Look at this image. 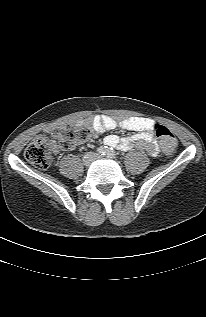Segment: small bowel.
<instances>
[{
	"mask_svg": "<svg viewBox=\"0 0 206 317\" xmlns=\"http://www.w3.org/2000/svg\"><path fill=\"white\" fill-rule=\"evenodd\" d=\"M154 124L155 122L152 119L145 117H128L116 120L106 115H97L77 122V126L90 129L93 136L116 128L133 131L134 134L124 138L108 135L104 138V142L107 146L116 147L122 151L132 148L143 149L152 156L159 152L153 132ZM52 150L54 152L58 151V147L54 143H52Z\"/></svg>",
	"mask_w": 206,
	"mask_h": 317,
	"instance_id": "obj_1",
	"label": "small bowel"
}]
</instances>
